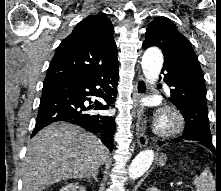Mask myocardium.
<instances>
[{
	"instance_id": "f54148a6",
	"label": "myocardium",
	"mask_w": 221,
	"mask_h": 191,
	"mask_svg": "<svg viewBox=\"0 0 221 191\" xmlns=\"http://www.w3.org/2000/svg\"><path fill=\"white\" fill-rule=\"evenodd\" d=\"M183 127V118L175 109H165L157 124V132L162 136H172Z\"/></svg>"
}]
</instances>
